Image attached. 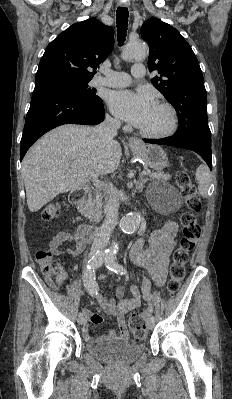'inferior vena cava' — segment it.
Here are the masks:
<instances>
[{
	"instance_id": "1",
	"label": "inferior vena cava",
	"mask_w": 232,
	"mask_h": 399,
	"mask_svg": "<svg viewBox=\"0 0 232 399\" xmlns=\"http://www.w3.org/2000/svg\"><path fill=\"white\" fill-rule=\"evenodd\" d=\"M121 126L120 120H113L111 116H106L104 122L99 124L96 128V132L102 140L103 144H112L114 142L113 138L117 136V130H119ZM114 186L113 184H108L106 194H108V198H106L104 205V213L105 219L104 223H102L100 227V233L94 241L92 247H90V258L93 256L94 252L97 250L107 248V243L109 241L110 233L113 231L117 221H118V207L119 203L117 198H115L114 194Z\"/></svg>"
}]
</instances>
